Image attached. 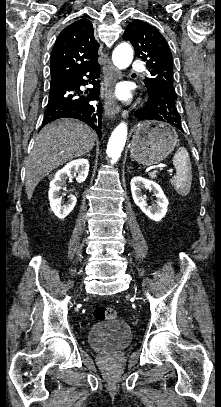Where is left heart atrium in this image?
<instances>
[{
	"instance_id": "1",
	"label": "left heart atrium",
	"mask_w": 221,
	"mask_h": 407,
	"mask_svg": "<svg viewBox=\"0 0 221 407\" xmlns=\"http://www.w3.org/2000/svg\"><path fill=\"white\" fill-rule=\"evenodd\" d=\"M126 93H127V90L124 88V87H119L118 89H117V91H116V94L119 96V97H124L125 95H126Z\"/></svg>"
}]
</instances>
